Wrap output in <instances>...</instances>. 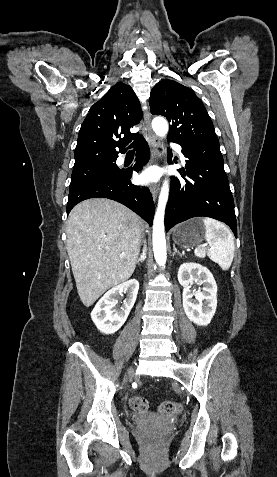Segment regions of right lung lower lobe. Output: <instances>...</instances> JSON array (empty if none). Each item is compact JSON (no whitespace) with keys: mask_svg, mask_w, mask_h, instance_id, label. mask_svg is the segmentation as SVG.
Instances as JSON below:
<instances>
[{"mask_svg":"<svg viewBox=\"0 0 277 477\" xmlns=\"http://www.w3.org/2000/svg\"><path fill=\"white\" fill-rule=\"evenodd\" d=\"M136 164L133 169L139 171L149 160V147L144 140L136 144ZM132 169H121L118 173L104 174L70 189L67 214L79 202L89 198H108L127 206L152 225L154 202L147 187H138L131 183Z\"/></svg>","mask_w":277,"mask_h":477,"instance_id":"1","label":"right lung lower lobe"}]
</instances>
